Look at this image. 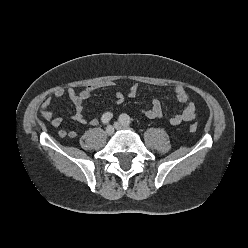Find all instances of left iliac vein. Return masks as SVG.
Instances as JSON below:
<instances>
[{
  "mask_svg": "<svg viewBox=\"0 0 248 248\" xmlns=\"http://www.w3.org/2000/svg\"><path fill=\"white\" fill-rule=\"evenodd\" d=\"M114 126L117 130H128L129 129L128 125H125L121 122H115Z\"/></svg>",
  "mask_w": 248,
  "mask_h": 248,
  "instance_id": "left-iliac-vein-1",
  "label": "left iliac vein"
}]
</instances>
